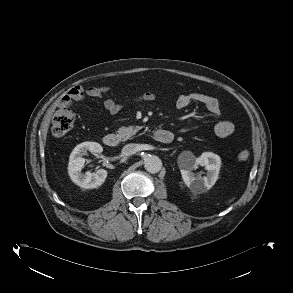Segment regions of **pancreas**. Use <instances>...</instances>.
<instances>
[{"mask_svg":"<svg viewBox=\"0 0 293 293\" xmlns=\"http://www.w3.org/2000/svg\"><path fill=\"white\" fill-rule=\"evenodd\" d=\"M141 129V127H134V126H129V127H125L122 126L118 129V134L124 139H130L132 136H134L139 130Z\"/></svg>","mask_w":293,"mask_h":293,"instance_id":"pancreas-1","label":"pancreas"}]
</instances>
